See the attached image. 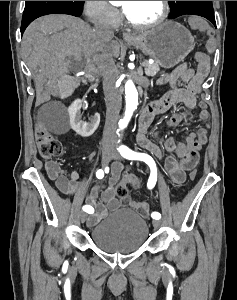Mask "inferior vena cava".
<instances>
[{"mask_svg":"<svg viewBox=\"0 0 237 300\" xmlns=\"http://www.w3.org/2000/svg\"><path fill=\"white\" fill-rule=\"evenodd\" d=\"M95 33L99 39H101L102 43H109L112 41L114 37L113 27L104 21V19H95ZM103 57H106V61L101 67V71L103 73V91L105 95L106 101V121L104 127V137H108V139H116V123L118 121L120 109H121V93L116 87V67L114 63V59L111 53H102ZM106 141V139H103Z\"/></svg>","mask_w":237,"mask_h":300,"instance_id":"obj_1","label":"inferior vena cava"}]
</instances>
